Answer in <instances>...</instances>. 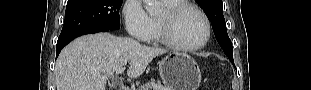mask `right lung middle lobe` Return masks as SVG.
<instances>
[{
    "label": "right lung middle lobe",
    "mask_w": 311,
    "mask_h": 90,
    "mask_svg": "<svg viewBox=\"0 0 311 90\" xmlns=\"http://www.w3.org/2000/svg\"><path fill=\"white\" fill-rule=\"evenodd\" d=\"M123 0H68L65 21L58 41L81 32L120 28Z\"/></svg>",
    "instance_id": "1"
}]
</instances>
